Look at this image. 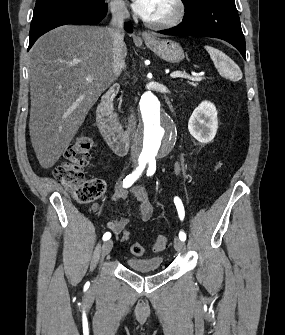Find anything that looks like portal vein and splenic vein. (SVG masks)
Segmentation results:
<instances>
[{
	"label": "portal vein and splenic vein",
	"mask_w": 285,
	"mask_h": 335,
	"mask_svg": "<svg viewBox=\"0 0 285 335\" xmlns=\"http://www.w3.org/2000/svg\"><path fill=\"white\" fill-rule=\"evenodd\" d=\"M171 78H187V80H192V82H200L203 80L201 76H189V74H184V72H172L170 74ZM87 82H93V76H87Z\"/></svg>",
	"instance_id": "obj_1"
}]
</instances>
